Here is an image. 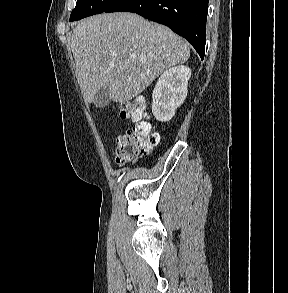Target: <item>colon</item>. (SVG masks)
Masks as SVG:
<instances>
[{
	"mask_svg": "<svg viewBox=\"0 0 288 293\" xmlns=\"http://www.w3.org/2000/svg\"><path fill=\"white\" fill-rule=\"evenodd\" d=\"M146 104L141 98L127 101L120 106L122 119L130 120L134 125L117 138L116 162L125 165L147 154L159 142V134L153 132L149 122L145 121Z\"/></svg>",
	"mask_w": 288,
	"mask_h": 293,
	"instance_id": "colon-1",
	"label": "colon"
}]
</instances>
